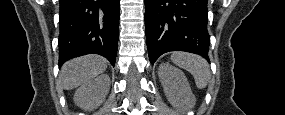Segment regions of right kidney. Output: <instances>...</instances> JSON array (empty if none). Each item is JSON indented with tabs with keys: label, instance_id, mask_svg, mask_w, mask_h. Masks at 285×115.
<instances>
[{
	"label": "right kidney",
	"instance_id": "1",
	"mask_svg": "<svg viewBox=\"0 0 285 115\" xmlns=\"http://www.w3.org/2000/svg\"><path fill=\"white\" fill-rule=\"evenodd\" d=\"M109 89L110 78L107 74H102L82 84L74 94V102L83 109H94L103 102Z\"/></svg>",
	"mask_w": 285,
	"mask_h": 115
}]
</instances>
